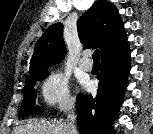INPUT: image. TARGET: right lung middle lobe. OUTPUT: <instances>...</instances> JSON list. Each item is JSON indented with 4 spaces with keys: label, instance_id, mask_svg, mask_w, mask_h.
Wrapping results in <instances>:
<instances>
[{
    "label": "right lung middle lobe",
    "instance_id": "right-lung-middle-lobe-1",
    "mask_svg": "<svg viewBox=\"0 0 153 134\" xmlns=\"http://www.w3.org/2000/svg\"><path fill=\"white\" fill-rule=\"evenodd\" d=\"M48 73L49 72L47 70H44L26 78V84L24 87V99L19 111V118L34 114L42 109L40 106L34 105L37 94L34 86L38 81L45 79L48 76Z\"/></svg>",
    "mask_w": 153,
    "mask_h": 134
}]
</instances>
